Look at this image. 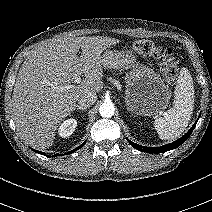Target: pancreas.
I'll return each mask as SVG.
<instances>
[{"label":"pancreas","instance_id":"obj_1","mask_svg":"<svg viewBox=\"0 0 212 212\" xmlns=\"http://www.w3.org/2000/svg\"><path fill=\"white\" fill-rule=\"evenodd\" d=\"M112 82L118 89L120 88V84L117 80H112Z\"/></svg>","mask_w":212,"mask_h":212}]
</instances>
